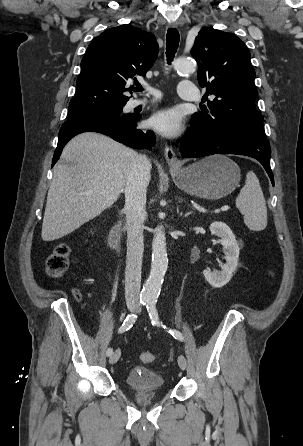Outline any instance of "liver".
<instances>
[{
	"label": "liver",
	"mask_w": 303,
	"mask_h": 446,
	"mask_svg": "<svg viewBox=\"0 0 303 446\" xmlns=\"http://www.w3.org/2000/svg\"><path fill=\"white\" fill-rule=\"evenodd\" d=\"M137 157L133 149L97 133L71 139L62 152L66 163L54 167L42 239H60L112 206Z\"/></svg>",
	"instance_id": "liver-1"
}]
</instances>
